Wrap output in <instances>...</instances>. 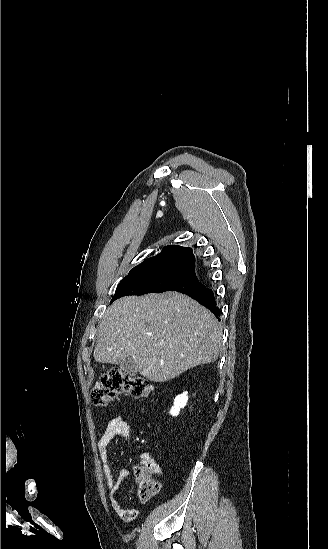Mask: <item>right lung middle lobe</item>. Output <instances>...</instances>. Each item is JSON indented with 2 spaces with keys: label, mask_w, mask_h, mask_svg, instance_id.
Here are the masks:
<instances>
[{
  "label": "right lung middle lobe",
  "mask_w": 328,
  "mask_h": 549,
  "mask_svg": "<svg viewBox=\"0 0 328 549\" xmlns=\"http://www.w3.org/2000/svg\"><path fill=\"white\" fill-rule=\"evenodd\" d=\"M203 286L194 274L168 270H132L117 286L111 302L127 295L162 293L171 290L184 292Z\"/></svg>",
  "instance_id": "right-lung-middle-lobe-1"
}]
</instances>
